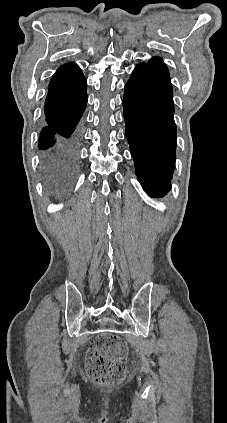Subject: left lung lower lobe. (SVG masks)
I'll return each mask as SVG.
<instances>
[{"label": "left lung lower lobe", "instance_id": "1", "mask_svg": "<svg viewBox=\"0 0 227 423\" xmlns=\"http://www.w3.org/2000/svg\"><path fill=\"white\" fill-rule=\"evenodd\" d=\"M123 106L136 175L150 196L165 194L171 189L176 151L172 93L155 76L133 72Z\"/></svg>", "mask_w": 227, "mask_h": 423}]
</instances>
